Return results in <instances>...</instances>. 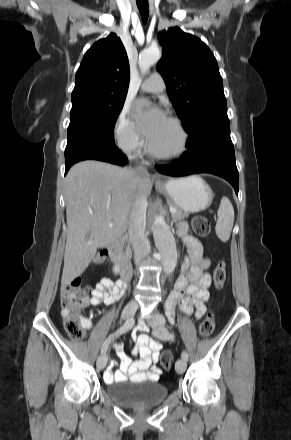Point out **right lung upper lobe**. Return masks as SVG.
I'll return each mask as SVG.
<instances>
[{"instance_id":"right-lung-upper-lobe-1","label":"right lung upper lobe","mask_w":291,"mask_h":440,"mask_svg":"<svg viewBox=\"0 0 291 440\" xmlns=\"http://www.w3.org/2000/svg\"><path fill=\"white\" fill-rule=\"evenodd\" d=\"M130 79L125 48L116 34L97 41L76 73L72 103L87 99L126 98Z\"/></svg>"}]
</instances>
